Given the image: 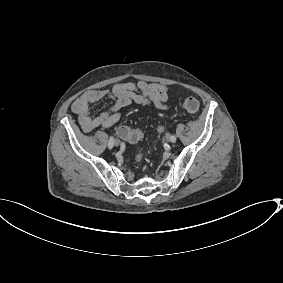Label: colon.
Masks as SVG:
<instances>
[{
  "mask_svg": "<svg viewBox=\"0 0 283 283\" xmlns=\"http://www.w3.org/2000/svg\"><path fill=\"white\" fill-rule=\"evenodd\" d=\"M182 108L191 114L196 113L199 110V102L194 97H187L182 101ZM119 135L132 143L139 141L142 138V133L138 129H130L127 126H121L118 128ZM144 153H138L136 156V162L141 163L144 159Z\"/></svg>",
  "mask_w": 283,
  "mask_h": 283,
  "instance_id": "1",
  "label": "colon"
}]
</instances>
